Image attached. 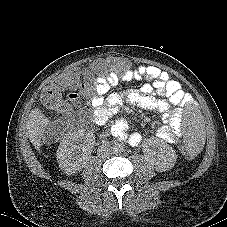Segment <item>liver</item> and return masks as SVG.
Wrapping results in <instances>:
<instances>
[{
  "mask_svg": "<svg viewBox=\"0 0 227 227\" xmlns=\"http://www.w3.org/2000/svg\"><path fill=\"white\" fill-rule=\"evenodd\" d=\"M48 124L49 119L45 117L39 108L31 110L26 122L27 135L30 142L38 151H40V147L42 145L41 138L43 137V133Z\"/></svg>",
  "mask_w": 227,
  "mask_h": 227,
  "instance_id": "6515ba94",
  "label": "liver"
}]
</instances>
